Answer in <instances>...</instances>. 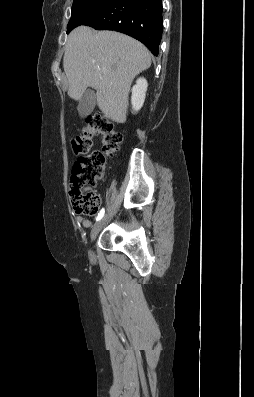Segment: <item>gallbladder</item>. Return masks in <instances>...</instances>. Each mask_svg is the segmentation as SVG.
<instances>
[{
  "instance_id": "bac80fb5",
  "label": "gallbladder",
  "mask_w": 254,
  "mask_h": 397,
  "mask_svg": "<svg viewBox=\"0 0 254 397\" xmlns=\"http://www.w3.org/2000/svg\"><path fill=\"white\" fill-rule=\"evenodd\" d=\"M96 103V95L92 89H87L80 98L78 112L81 117H85L93 111Z\"/></svg>"
}]
</instances>
